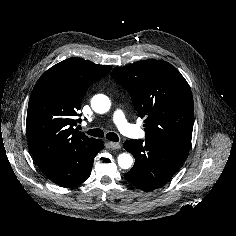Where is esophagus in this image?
<instances>
[{
  "instance_id": "obj_1",
  "label": "esophagus",
  "mask_w": 236,
  "mask_h": 236,
  "mask_svg": "<svg viewBox=\"0 0 236 236\" xmlns=\"http://www.w3.org/2000/svg\"><path fill=\"white\" fill-rule=\"evenodd\" d=\"M109 147L112 149V150H116V149H120L121 145L119 143H116V142H109Z\"/></svg>"
}]
</instances>
